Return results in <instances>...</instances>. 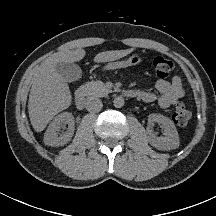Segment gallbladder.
Instances as JSON below:
<instances>
[{"label": "gallbladder", "instance_id": "gallbladder-1", "mask_svg": "<svg viewBox=\"0 0 216 216\" xmlns=\"http://www.w3.org/2000/svg\"><path fill=\"white\" fill-rule=\"evenodd\" d=\"M55 69L66 82H74L82 77V70L75 63L59 62Z\"/></svg>", "mask_w": 216, "mask_h": 216}]
</instances>
